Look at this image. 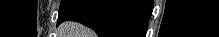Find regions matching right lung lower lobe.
Segmentation results:
<instances>
[{
	"instance_id": "right-lung-lower-lobe-1",
	"label": "right lung lower lobe",
	"mask_w": 219,
	"mask_h": 37,
	"mask_svg": "<svg viewBox=\"0 0 219 37\" xmlns=\"http://www.w3.org/2000/svg\"><path fill=\"white\" fill-rule=\"evenodd\" d=\"M152 9V0H74L58 23L80 22L99 37H144Z\"/></svg>"
}]
</instances>
